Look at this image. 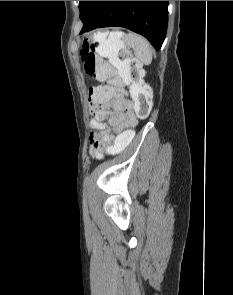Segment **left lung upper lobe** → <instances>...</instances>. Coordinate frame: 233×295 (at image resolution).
<instances>
[{
  "instance_id": "left-lung-upper-lobe-1",
  "label": "left lung upper lobe",
  "mask_w": 233,
  "mask_h": 295,
  "mask_svg": "<svg viewBox=\"0 0 233 295\" xmlns=\"http://www.w3.org/2000/svg\"><path fill=\"white\" fill-rule=\"evenodd\" d=\"M95 3L96 1H80L79 2L80 18L83 23L89 18Z\"/></svg>"
}]
</instances>
